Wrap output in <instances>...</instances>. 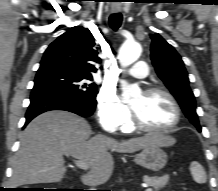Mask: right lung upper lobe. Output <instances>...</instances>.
<instances>
[{
    "label": "right lung upper lobe",
    "instance_id": "obj_1",
    "mask_svg": "<svg viewBox=\"0 0 218 191\" xmlns=\"http://www.w3.org/2000/svg\"><path fill=\"white\" fill-rule=\"evenodd\" d=\"M43 59L63 62L91 77L97 71L95 64L100 63L93 35L81 26L69 29L52 42L44 52Z\"/></svg>",
    "mask_w": 218,
    "mask_h": 191
}]
</instances>
